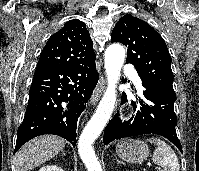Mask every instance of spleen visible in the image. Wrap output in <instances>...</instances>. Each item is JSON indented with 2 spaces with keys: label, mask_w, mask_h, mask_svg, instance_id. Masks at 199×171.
Instances as JSON below:
<instances>
[{
  "label": "spleen",
  "mask_w": 199,
  "mask_h": 171,
  "mask_svg": "<svg viewBox=\"0 0 199 171\" xmlns=\"http://www.w3.org/2000/svg\"><path fill=\"white\" fill-rule=\"evenodd\" d=\"M148 141L157 145L153 153V162L162 167V171H180L178 158L166 142L159 138H149Z\"/></svg>",
  "instance_id": "spleen-1"
}]
</instances>
